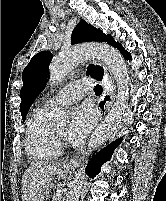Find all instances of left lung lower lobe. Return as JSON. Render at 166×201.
<instances>
[{"mask_svg": "<svg viewBox=\"0 0 166 201\" xmlns=\"http://www.w3.org/2000/svg\"><path fill=\"white\" fill-rule=\"evenodd\" d=\"M121 53L127 60H131V55L129 52H127L126 50L123 49L121 51ZM102 77L96 78V79L101 80ZM121 140L122 139L120 138V139L112 142L111 144H109L108 146L103 148L100 152H98L90 160L89 165L86 168V172L91 178L95 177L100 172V169H101V166L103 165V163L110 160V158L114 152V149L121 143Z\"/></svg>", "mask_w": 166, "mask_h": 201, "instance_id": "obj_1", "label": "left lung lower lobe"}]
</instances>
